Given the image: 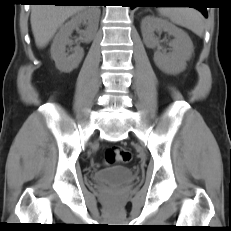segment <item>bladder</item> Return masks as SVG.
<instances>
[{
  "label": "bladder",
  "mask_w": 231,
  "mask_h": 231,
  "mask_svg": "<svg viewBox=\"0 0 231 231\" xmlns=\"http://www.w3.org/2000/svg\"><path fill=\"white\" fill-rule=\"evenodd\" d=\"M91 179L93 183L102 186L120 185L131 182L134 179V174L129 168L115 167L93 173Z\"/></svg>",
  "instance_id": "obj_1"
}]
</instances>
